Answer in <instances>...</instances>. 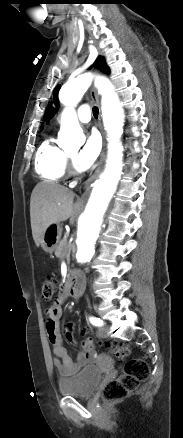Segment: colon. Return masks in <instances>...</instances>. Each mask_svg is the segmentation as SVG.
Wrapping results in <instances>:
<instances>
[{
  "mask_svg": "<svg viewBox=\"0 0 183 438\" xmlns=\"http://www.w3.org/2000/svg\"><path fill=\"white\" fill-rule=\"evenodd\" d=\"M41 289L43 299L49 301L56 290L55 280L45 278L41 283ZM101 345L108 349L109 352L120 361H124L130 355V349L125 344L115 341H106L102 342ZM148 376L149 366L144 359H129L124 366L123 372L105 384L103 388V398L107 401L122 399L133 392Z\"/></svg>",
  "mask_w": 183,
  "mask_h": 438,
  "instance_id": "1",
  "label": "colon"
}]
</instances>
